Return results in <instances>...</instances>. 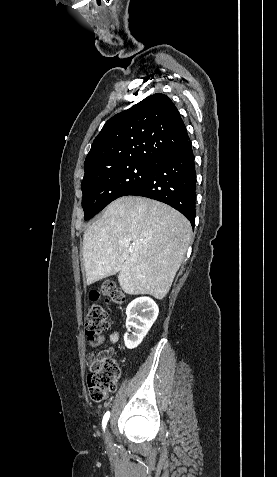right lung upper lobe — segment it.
Returning <instances> with one entry per match:
<instances>
[{
    "label": "right lung upper lobe",
    "mask_w": 277,
    "mask_h": 477,
    "mask_svg": "<svg viewBox=\"0 0 277 477\" xmlns=\"http://www.w3.org/2000/svg\"><path fill=\"white\" fill-rule=\"evenodd\" d=\"M188 140L185 124L171 99L153 94L105 123L85 159L84 171L130 162L155 163Z\"/></svg>",
    "instance_id": "obj_1"
}]
</instances>
